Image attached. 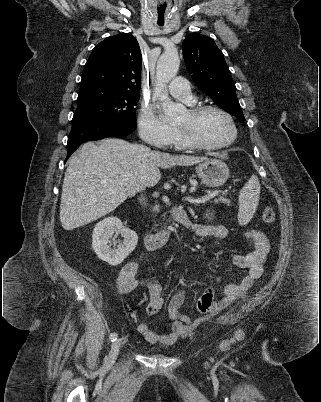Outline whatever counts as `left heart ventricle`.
I'll list each match as a JSON object with an SVG mask.
<instances>
[{
  "label": "left heart ventricle",
  "mask_w": 321,
  "mask_h": 402,
  "mask_svg": "<svg viewBox=\"0 0 321 402\" xmlns=\"http://www.w3.org/2000/svg\"><path fill=\"white\" fill-rule=\"evenodd\" d=\"M175 125L189 130L199 141L206 144L221 143L232 133L227 119L215 110H206L198 115H192L186 110Z\"/></svg>",
  "instance_id": "left-heart-ventricle-1"
}]
</instances>
